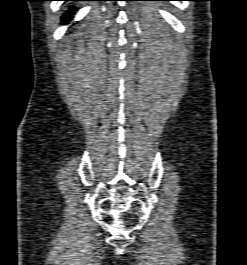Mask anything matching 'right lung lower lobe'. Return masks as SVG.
<instances>
[{
    "instance_id": "1",
    "label": "right lung lower lobe",
    "mask_w": 247,
    "mask_h": 265,
    "mask_svg": "<svg viewBox=\"0 0 247 265\" xmlns=\"http://www.w3.org/2000/svg\"><path fill=\"white\" fill-rule=\"evenodd\" d=\"M64 1H80V0H64ZM68 13H64L63 17H62V23H68V17H67Z\"/></svg>"
}]
</instances>
